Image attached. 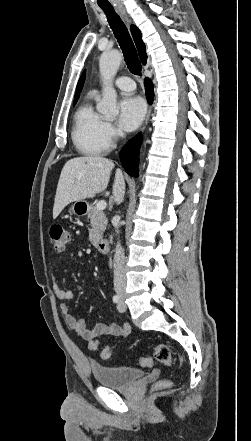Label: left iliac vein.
Returning <instances> with one entry per match:
<instances>
[{
    "label": "left iliac vein",
    "instance_id": "1",
    "mask_svg": "<svg viewBox=\"0 0 251 441\" xmlns=\"http://www.w3.org/2000/svg\"><path fill=\"white\" fill-rule=\"evenodd\" d=\"M117 309L119 310V312H124L126 310V305L124 304L123 298H121Z\"/></svg>",
    "mask_w": 251,
    "mask_h": 441
}]
</instances>
